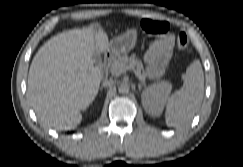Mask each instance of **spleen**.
<instances>
[{"mask_svg":"<svg viewBox=\"0 0 243 167\" xmlns=\"http://www.w3.org/2000/svg\"><path fill=\"white\" fill-rule=\"evenodd\" d=\"M204 94V73L195 59L186 69L184 84L168 99L165 121L169 127H180L191 121L199 110Z\"/></svg>","mask_w":243,"mask_h":167,"instance_id":"spleen-1","label":"spleen"}]
</instances>
